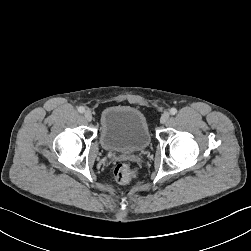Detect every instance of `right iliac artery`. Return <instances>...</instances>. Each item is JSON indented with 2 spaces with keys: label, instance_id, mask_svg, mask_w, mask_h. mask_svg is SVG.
<instances>
[{
  "label": "right iliac artery",
  "instance_id": "82829eb1",
  "mask_svg": "<svg viewBox=\"0 0 251 251\" xmlns=\"http://www.w3.org/2000/svg\"><path fill=\"white\" fill-rule=\"evenodd\" d=\"M78 111H79L80 113H83V112H85V108H84L83 106H80V107L78 108Z\"/></svg>",
  "mask_w": 251,
  "mask_h": 251
}]
</instances>
